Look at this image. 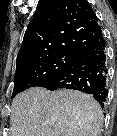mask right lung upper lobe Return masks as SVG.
Returning a JSON list of instances; mask_svg holds the SVG:
<instances>
[{"instance_id":"cb5924a9","label":"right lung upper lobe","mask_w":117,"mask_h":136,"mask_svg":"<svg viewBox=\"0 0 117 136\" xmlns=\"http://www.w3.org/2000/svg\"><path fill=\"white\" fill-rule=\"evenodd\" d=\"M102 29L87 0H39L17 55L16 68L50 55L79 54Z\"/></svg>"}]
</instances>
